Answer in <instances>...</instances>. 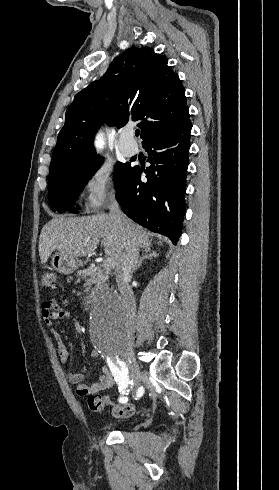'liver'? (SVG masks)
Returning <instances> with one entry per match:
<instances>
[{
    "label": "liver",
    "mask_w": 279,
    "mask_h": 490,
    "mask_svg": "<svg viewBox=\"0 0 279 490\" xmlns=\"http://www.w3.org/2000/svg\"><path fill=\"white\" fill-rule=\"evenodd\" d=\"M128 220V218H127ZM133 236L139 248H151L150 232L128 220L118 228L108 214L86 216V218H64L57 216L45 224L39 238L41 264L48 262L52 252L58 250L70 258H83L95 252L100 240L105 254L112 258L116 268L124 260L127 242ZM158 246H163V236H158ZM156 244V242H154Z\"/></svg>",
    "instance_id": "obj_1"
}]
</instances>
